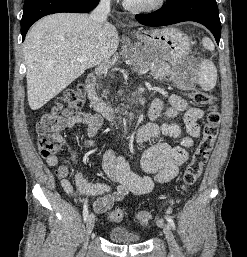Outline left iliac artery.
Here are the masks:
<instances>
[{
	"instance_id": "obj_1",
	"label": "left iliac artery",
	"mask_w": 247,
	"mask_h": 257,
	"mask_svg": "<svg viewBox=\"0 0 247 257\" xmlns=\"http://www.w3.org/2000/svg\"><path fill=\"white\" fill-rule=\"evenodd\" d=\"M166 219H167L169 225H170L173 229H175V223H174L173 219H172L170 216H166Z\"/></svg>"
}]
</instances>
